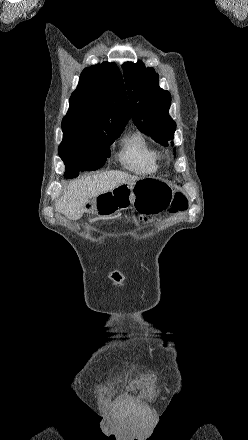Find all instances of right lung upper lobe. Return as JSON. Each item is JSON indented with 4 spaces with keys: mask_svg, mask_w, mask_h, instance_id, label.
<instances>
[{
    "mask_svg": "<svg viewBox=\"0 0 248 440\" xmlns=\"http://www.w3.org/2000/svg\"><path fill=\"white\" fill-rule=\"evenodd\" d=\"M130 109L123 78L117 65L103 62L83 70L63 118V141L72 146L93 134L123 130Z\"/></svg>",
    "mask_w": 248,
    "mask_h": 440,
    "instance_id": "cb5924a9",
    "label": "right lung upper lobe"
}]
</instances>
